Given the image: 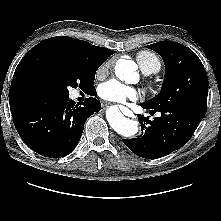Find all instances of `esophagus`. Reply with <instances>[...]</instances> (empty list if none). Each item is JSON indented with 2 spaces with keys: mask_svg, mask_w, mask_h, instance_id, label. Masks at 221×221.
Masks as SVG:
<instances>
[{
  "mask_svg": "<svg viewBox=\"0 0 221 221\" xmlns=\"http://www.w3.org/2000/svg\"><path fill=\"white\" fill-rule=\"evenodd\" d=\"M108 104H105L104 106L107 107Z\"/></svg>",
  "mask_w": 221,
  "mask_h": 221,
  "instance_id": "obj_1",
  "label": "esophagus"
}]
</instances>
